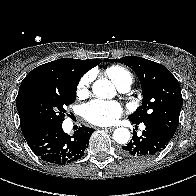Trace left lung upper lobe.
Segmentation results:
<instances>
[{
	"mask_svg": "<svg viewBox=\"0 0 196 196\" xmlns=\"http://www.w3.org/2000/svg\"><path fill=\"white\" fill-rule=\"evenodd\" d=\"M130 67L141 83L142 105L128 118L136 123H158L174 134L182 106L180 85L173 74L163 65L137 56L109 59Z\"/></svg>",
	"mask_w": 196,
	"mask_h": 196,
	"instance_id": "1",
	"label": "left lung upper lobe"
}]
</instances>
